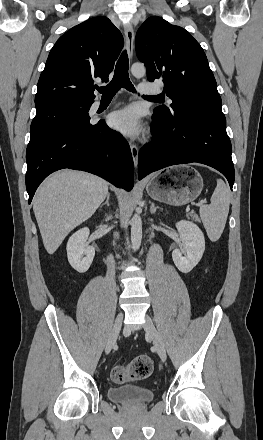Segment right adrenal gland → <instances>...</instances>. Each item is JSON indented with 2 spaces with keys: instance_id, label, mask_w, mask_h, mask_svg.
I'll list each match as a JSON object with an SVG mask.
<instances>
[{
  "instance_id": "1",
  "label": "right adrenal gland",
  "mask_w": 263,
  "mask_h": 440,
  "mask_svg": "<svg viewBox=\"0 0 263 440\" xmlns=\"http://www.w3.org/2000/svg\"><path fill=\"white\" fill-rule=\"evenodd\" d=\"M109 200H110V194L108 193L107 194V196H106V201H105V203H103L101 206H100V208H102L104 205H107L108 207L110 206V204H109ZM110 218V216H108L107 215V218L106 219H109ZM105 219V220H106Z\"/></svg>"
}]
</instances>
